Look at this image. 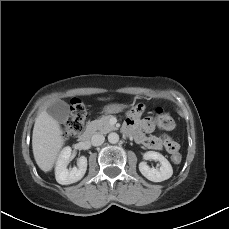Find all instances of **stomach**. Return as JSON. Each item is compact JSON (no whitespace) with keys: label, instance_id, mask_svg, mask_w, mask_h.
Listing matches in <instances>:
<instances>
[{"label":"stomach","instance_id":"1","mask_svg":"<svg viewBox=\"0 0 229 229\" xmlns=\"http://www.w3.org/2000/svg\"><path fill=\"white\" fill-rule=\"evenodd\" d=\"M125 108V105L123 104H118V103H112L104 106L103 112L107 114H112V113H118L123 111Z\"/></svg>","mask_w":229,"mask_h":229}]
</instances>
